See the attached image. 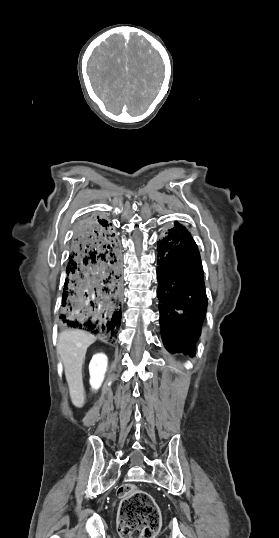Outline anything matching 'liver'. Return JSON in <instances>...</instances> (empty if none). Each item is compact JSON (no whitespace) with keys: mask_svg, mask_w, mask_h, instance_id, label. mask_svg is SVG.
Listing matches in <instances>:
<instances>
[{"mask_svg":"<svg viewBox=\"0 0 279 538\" xmlns=\"http://www.w3.org/2000/svg\"><path fill=\"white\" fill-rule=\"evenodd\" d=\"M95 340V336L83 330H63L59 334L57 352L63 362L71 402L76 408L84 406L82 366L87 348Z\"/></svg>","mask_w":279,"mask_h":538,"instance_id":"1","label":"liver"}]
</instances>
